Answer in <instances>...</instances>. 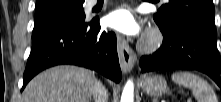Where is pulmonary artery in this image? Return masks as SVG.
I'll use <instances>...</instances> for the list:
<instances>
[{"mask_svg":"<svg viewBox=\"0 0 221 102\" xmlns=\"http://www.w3.org/2000/svg\"><path fill=\"white\" fill-rule=\"evenodd\" d=\"M96 3H97V0H91V1H90V5H91V6H94Z\"/></svg>","mask_w":221,"mask_h":102,"instance_id":"1","label":"pulmonary artery"}]
</instances>
